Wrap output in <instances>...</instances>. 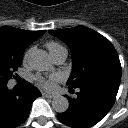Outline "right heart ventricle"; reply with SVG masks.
<instances>
[{"label": "right heart ventricle", "mask_w": 128, "mask_h": 128, "mask_svg": "<svg viewBox=\"0 0 128 128\" xmlns=\"http://www.w3.org/2000/svg\"><path fill=\"white\" fill-rule=\"evenodd\" d=\"M46 47L48 48V51L51 56L55 55L57 52H59L61 49H64L62 45H60L57 42L51 41L46 44Z\"/></svg>", "instance_id": "e07e8e85"}]
</instances>
